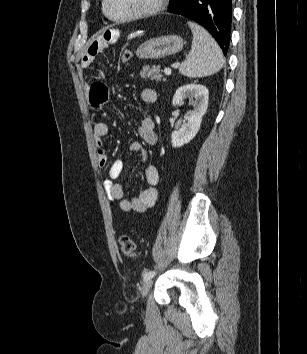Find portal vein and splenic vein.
Returning <instances> with one entry per match:
<instances>
[{"instance_id":"portal-vein-and-splenic-vein-1","label":"portal vein and splenic vein","mask_w":307,"mask_h":354,"mask_svg":"<svg viewBox=\"0 0 307 354\" xmlns=\"http://www.w3.org/2000/svg\"><path fill=\"white\" fill-rule=\"evenodd\" d=\"M164 73H165L166 75H170V74H171V69H170V68H165V69H164Z\"/></svg>"}]
</instances>
